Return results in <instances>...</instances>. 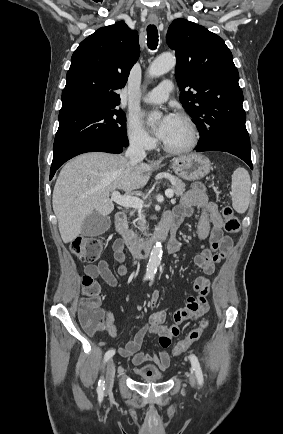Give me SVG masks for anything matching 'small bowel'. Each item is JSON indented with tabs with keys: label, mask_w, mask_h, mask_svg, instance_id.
<instances>
[{
	"label": "small bowel",
	"mask_w": 283,
	"mask_h": 434,
	"mask_svg": "<svg viewBox=\"0 0 283 434\" xmlns=\"http://www.w3.org/2000/svg\"><path fill=\"white\" fill-rule=\"evenodd\" d=\"M200 211L198 222V237L201 240L209 239L210 248L199 253L194 264L197 269L202 271L205 276H199L195 279L193 287L196 296L187 298L186 305L172 314V324L166 325V314L164 312H155L146 326L139 329L124 346L118 348V354L123 358H131L135 367L140 368L146 362L154 363L159 369L165 370L170 365V356L162 350L158 354L145 353L141 350L145 336L148 333H154L159 336V344L162 349H166L173 337L177 336L180 331V325L184 321L196 320L209 310L207 300L210 292V282L206 276L212 275L215 266L224 259L230 252L233 241L232 238L223 232V220L218 211V206L208 199L207 193L201 184H194L183 195L179 204L165 216L164 221H169L178 228L182 221L193 215L194 211ZM169 250L172 254H177L181 250L180 243L175 239L169 244ZM114 259L118 262L117 272L120 276L128 273V267L125 264V251L122 239L118 238L113 243ZM86 275L97 278L101 277L110 287H117L118 281L110 270V261L100 259L96 264L85 267ZM158 293L154 292L151 296V307H155L158 301ZM114 316L109 311H104V325L110 337L117 338L118 331L114 324Z\"/></svg>",
	"instance_id": "small-bowel-1"
}]
</instances>
